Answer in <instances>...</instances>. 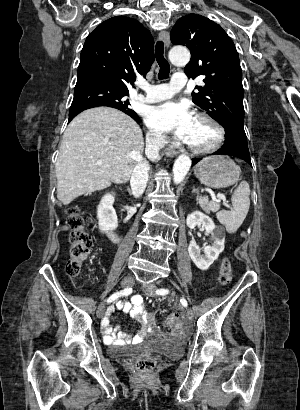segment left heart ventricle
<instances>
[{
  "mask_svg": "<svg viewBox=\"0 0 300 410\" xmlns=\"http://www.w3.org/2000/svg\"><path fill=\"white\" fill-rule=\"evenodd\" d=\"M217 139L218 132L212 124L204 120L196 119L189 144L200 148H206L213 145Z\"/></svg>",
  "mask_w": 300,
  "mask_h": 410,
  "instance_id": "left-heart-ventricle-1",
  "label": "left heart ventricle"
}]
</instances>
